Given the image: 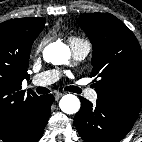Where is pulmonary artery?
<instances>
[{
  "label": "pulmonary artery",
  "instance_id": "pulmonary-artery-1",
  "mask_svg": "<svg viewBox=\"0 0 142 142\" xmlns=\"http://www.w3.org/2000/svg\"><path fill=\"white\" fill-rule=\"evenodd\" d=\"M72 56L75 60H83L90 52L89 43H73L70 44ZM60 77V73L57 70H48L35 75L32 79V83L37 86H48L56 82ZM85 95L91 101L97 99V93L94 90H85Z\"/></svg>",
  "mask_w": 142,
  "mask_h": 142
}]
</instances>
